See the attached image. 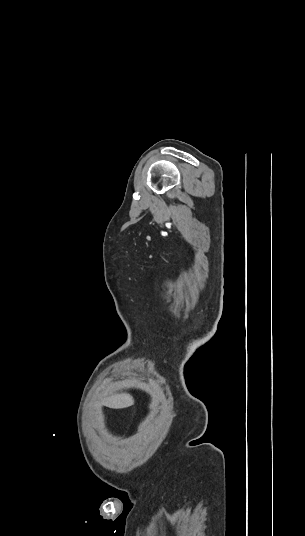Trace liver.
Wrapping results in <instances>:
<instances>
[{"instance_id":"1","label":"liver","mask_w":305,"mask_h":536,"mask_svg":"<svg viewBox=\"0 0 305 536\" xmlns=\"http://www.w3.org/2000/svg\"><path fill=\"white\" fill-rule=\"evenodd\" d=\"M101 404L107 408H128L133 406L134 400L130 394H114V396H106L100 398Z\"/></svg>"}]
</instances>
